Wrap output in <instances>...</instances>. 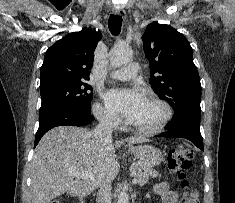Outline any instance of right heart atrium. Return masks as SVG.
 Listing matches in <instances>:
<instances>
[{"instance_id": "d8ad5b80", "label": "right heart atrium", "mask_w": 235, "mask_h": 203, "mask_svg": "<svg viewBox=\"0 0 235 203\" xmlns=\"http://www.w3.org/2000/svg\"><path fill=\"white\" fill-rule=\"evenodd\" d=\"M94 114L96 118L105 126L115 128L118 126L119 120L115 114L110 112L101 104L97 103L94 105Z\"/></svg>"}]
</instances>
